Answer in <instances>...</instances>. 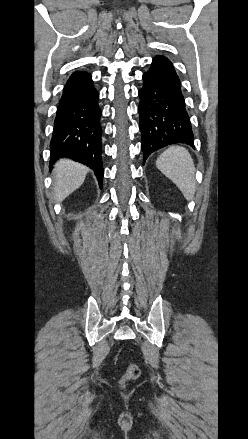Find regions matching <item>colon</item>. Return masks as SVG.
I'll list each match as a JSON object with an SVG mask.
<instances>
[{"instance_id": "1", "label": "colon", "mask_w": 248, "mask_h": 439, "mask_svg": "<svg viewBox=\"0 0 248 439\" xmlns=\"http://www.w3.org/2000/svg\"><path fill=\"white\" fill-rule=\"evenodd\" d=\"M140 376V369L137 365L131 364L128 366L125 375L122 378V382H128L137 379Z\"/></svg>"}]
</instances>
